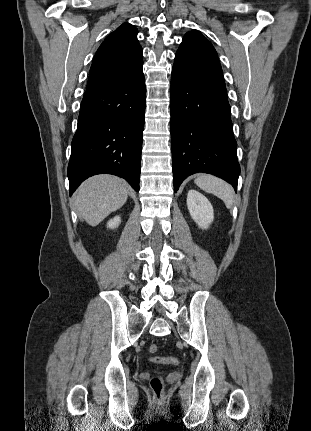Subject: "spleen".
<instances>
[{
  "mask_svg": "<svg viewBox=\"0 0 311 431\" xmlns=\"http://www.w3.org/2000/svg\"><path fill=\"white\" fill-rule=\"evenodd\" d=\"M196 186H199L204 192L208 194H214L217 198L223 200L226 208H232L234 202V194L231 186L219 180V178H214V176H206V174H201L196 180H194Z\"/></svg>",
  "mask_w": 311,
  "mask_h": 431,
  "instance_id": "3e777b00",
  "label": "spleen"
}]
</instances>
